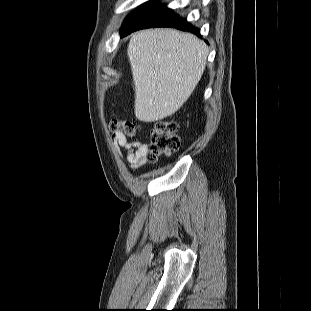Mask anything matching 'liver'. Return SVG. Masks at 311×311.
I'll list each match as a JSON object with an SVG mask.
<instances>
[{"label": "liver", "mask_w": 311, "mask_h": 311, "mask_svg": "<svg viewBox=\"0 0 311 311\" xmlns=\"http://www.w3.org/2000/svg\"><path fill=\"white\" fill-rule=\"evenodd\" d=\"M127 55L135 87V116L155 122L177 112L204 72L208 47L196 36L174 29L133 34Z\"/></svg>", "instance_id": "6515ba94"}]
</instances>
